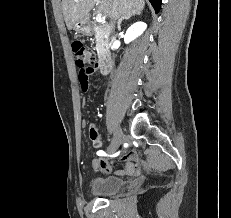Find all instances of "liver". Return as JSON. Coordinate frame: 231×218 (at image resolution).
<instances>
[{"label":"liver","instance_id":"liver-1","mask_svg":"<svg viewBox=\"0 0 231 218\" xmlns=\"http://www.w3.org/2000/svg\"><path fill=\"white\" fill-rule=\"evenodd\" d=\"M117 1L116 11L113 12V3ZM94 0H62V11L68 30L81 20H84L94 7ZM144 0H100L98 12L106 18L115 21L126 16L140 14L144 9Z\"/></svg>","mask_w":231,"mask_h":218}]
</instances>
